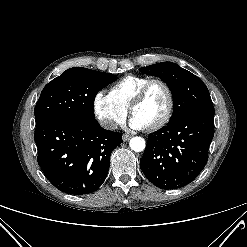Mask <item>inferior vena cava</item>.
I'll use <instances>...</instances> for the list:
<instances>
[{
	"label": "inferior vena cava",
	"mask_w": 247,
	"mask_h": 247,
	"mask_svg": "<svg viewBox=\"0 0 247 247\" xmlns=\"http://www.w3.org/2000/svg\"><path fill=\"white\" fill-rule=\"evenodd\" d=\"M100 125L105 128V129H109V130H115L118 127V124L111 121V120H107V119H102L100 120Z\"/></svg>",
	"instance_id": "602c4592"
}]
</instances>
